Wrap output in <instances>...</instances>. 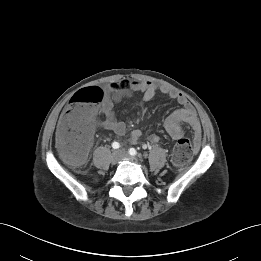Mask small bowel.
<instances>
[{"instance_id":"obj_1","label":"small bowel","mask_w":261,"mask_h":261,"mask_svg":"<svg viewBox=\"0 0 261 261\" xmlns=\"http://www.w3.org/2000/svg\"><path fill=\"white\" fill-rule=\"evenodd\" d=\"M158 90L182 105L181 108L174 110L165 118L164 127L166 131L170 134V136L178 139L183 136L184 129L182 127V124L186 123L192 130L195 144L199 145L202 137L201 124L197 119L192 106L185 98V96L173 88L167 86L157 87L151 82L138 80H121L119 82L111 84L110 88L107 91L106 99L104 100L100 109L104 118L102 121H100L96 113L93 114L89 121V136H91L100 125L117 135H123L126 131V126L123 122L119 121L116 118L113 108L114 101L121 99L127 91H131L141 93V103H146L155 96ZM68 110L69 107L65 109L64 114ZM141 136L142 132L140 130H133L130 133V141L135 143L140 140ZM149 140L151 142H157L159 140V137L156 134H151L149 135Z\"/></svg>"}]
</instances>
